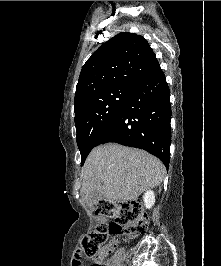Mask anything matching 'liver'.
Wrapping results in <instances>:
<instances>
[{
  "label": "liver",
  "mask_w": 221,
  "mask_h": 266,
  "mask_svg": "<svg viewBox=\"0 0 221 266\" xmlns=\"http://www.w3.org/2000/svg\"><path fill=\"white\" fill-rule=\"evenodd\" d=\"M163 163L149 153L109 143L94 148L82 169L81 193L97 190L109 202L137 199L145 190L161 184Z\"/></svg>",
  "instance_id": "obj_1"
}]
</instances>
